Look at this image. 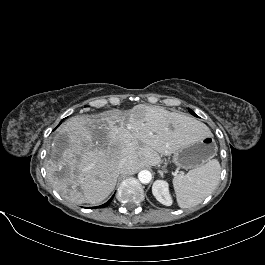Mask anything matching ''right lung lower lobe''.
<instances>
[{
	"label": "right lung lower lobe",
	"mask_w": 265,
	"mask_h": 265,
	"mask_svg": "<svg viewBox=\"0 0 265 265\" xmlns=\"http://www.w3.org/2000/svg\"><path fill=\"white\" fill-rule=\"evenodd\" d=\"M112 199H113V197L108 201V202H106L105 204H103V205H101V206H99L100 208H104V207H106L111 201H112ZM99 207H97V208H99Z\"/></svg>",
	"instance_id": "right-lung-lower-lobe-1"
}]
</instances>
